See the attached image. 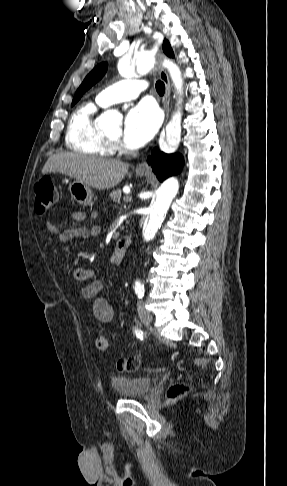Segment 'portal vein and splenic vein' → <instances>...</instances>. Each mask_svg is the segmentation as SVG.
<instances>
[{
    "label": "portal vein and splenic vein",
    "instance_id": "obj_1",
    "mask_svg": "<svg viewBox=\"0 0 287 486\" xmlns=\"http://www.w3.org/2000/svg\"><path fill=\"white\" fill-rule=\"evenodd\" d=\"M131 200H132V198L130 196L123 198V201L126 202V203L131 202Z\"/></svg>",
    "mask_w": 287,
    "mask_h": 486
}]
</instances>
